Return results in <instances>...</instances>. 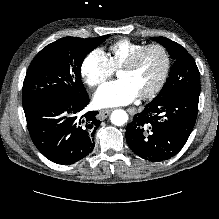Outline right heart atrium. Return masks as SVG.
Here are the masks:
<instances>
[{
	"instance_id": "right-heart-atrium-1",
	"label": "right heart atrium",
	"mask_w": 219,
	"mask_h": 219,
	"mask_svg": "<svg viewBox=\"0 0 219 219\" xmlns=\"http://www.w3.org/2000/svg\"><path fill=\"white\" fill-rule=\"evenodd\" d=\"M113 74L107 55L101 49H94L84 58L81 65L83 80L90 87H97L103 84Z\"/></svg>"
}]
</instances>
